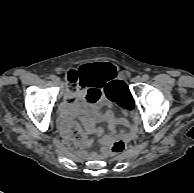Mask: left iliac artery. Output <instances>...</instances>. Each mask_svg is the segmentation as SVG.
I'll use <instances>...</instances> for the list:
<instances>
[{"label": "left iliac artery", "mask_w": 194, "mask_h": 193, "mask_svg": "<svg viewBox=\"0 0 194 193\" xmlns=\"http://www.w3.org/2000/svg\"><path fill=\"white\" fill-rule=\"evenodd\" d=\"M143 79H144V81L148 80L149 79V75L148 74L143 75Z\"/></svg>", "instance_id": "1"}]
</instances>
